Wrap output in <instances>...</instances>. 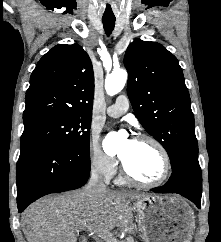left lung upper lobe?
Segmentation results:
<instances>
[{"instance_id":"obj_1","label":"left lung upper lobe","mask_w":221,"mask_h":242,"mask_svg":"<svg viewBox=\"0 0 221 242\" xmlns=\"http://www.w3.org/2000/svg\"><path fill=\"white\" fill-rule=\"evenodd\" d=\"M124 64L136 117L166 149L172 169L185 158L198 157L190 96L177 58L159 43L136 39Z\"/></svg>"}]
</instances>
